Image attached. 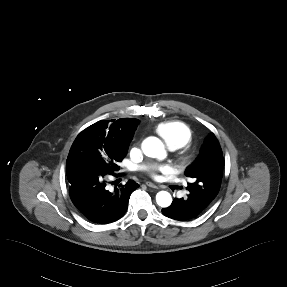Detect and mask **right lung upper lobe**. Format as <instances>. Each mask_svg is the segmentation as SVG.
Wrapping results in <instances>:
<instances>
[{
  "mask_svg": "<svg viewBox=\"0 0 287 287\" xmlns=\"http://www.w3.org/2000/svg\"><path fill=\"white\" fill-rule=\"evenodd\" d=\"M138 123L139 120L134 118H123L116 121L104 120L89 126L83 131L103 144L128 148Z\"/></svg>",
  "mask_w": 287,
  "mask_h": 287,
  "instance_id": "right-lung-upper-lobe-1",
  "label": "right lung upper lobe"
}]
</instances>
